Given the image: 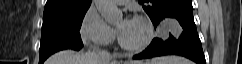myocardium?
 <instances>
[{"label":"myocardium","instance_id":"1","mask_svg":"<svg viewBox=\"0 0 242 64\" xmlns=\"http://www.w3.org/2000/svg\"><path fill=\"white\" fill-rule=\"evenodd\" d=\"M135 20L145 27L146 36L144 40L138 44L132 45L127 43L121 35L119 36V43L122 46V48L131 52H138L145 49L151 43L154 37V27L150 20L142 16L136 17Z\"/></svg>","mask_w":242,"mask_h":64}]
</instances>
